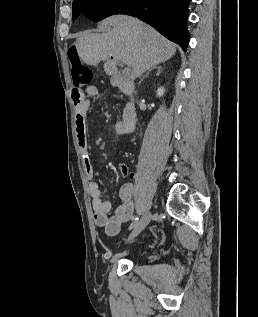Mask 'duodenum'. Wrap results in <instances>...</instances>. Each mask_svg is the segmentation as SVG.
I'll return each mask as SVG.
<instances>
[{
  "instance_id": "410a0bca",
  "label": "duodenum",
  "mask_w": 258,
  "mask_h": 317,
  "mask_svg": "<svg viewBox=\"0 0 258 317\" xmlns=\"http://www.w3.org/2000/svg\"><path fill=\"white\" fill-rule=\"evenodd\" d=\"M72 101L76 107H81L85 103L86 92L80 88L76 87L71 93Z\"/></svg>"
}]
</instances>
